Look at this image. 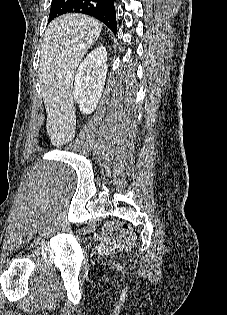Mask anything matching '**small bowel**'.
Here are the masks:
<instances>
[{"mask_svg": "<svg viewBox=\"0 0 227 315\" xmlns=\"http://www.w3.org/2000/svg\"><path fill=\"white\" fill-rule=\"evenodd\" d=\"M118 229L117 223H111L103 229L105 238L102 240L101 245L104 248H114L118 244V239L115 236V232Z\"/></svg>", "mask_w": 227, "mask_h": 315, "instance_id": "1", "label": "small bowel"}]
</instances>
